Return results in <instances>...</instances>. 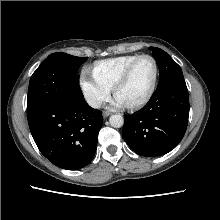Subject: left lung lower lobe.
I'll return each mask as SVG.
<instances>
[{
  "label": "left lung lower lobe",
  "mask_w": 220,
  "mask_h": 220,
  "mask_svg": "<svg viewBox=\"0 0 220 220\" xmlns=\"http://www.w3.org/2000/svg\"><path fill=\"white\" fill-rule=\"evenodd\" d=\"M189 117V96L185 80L173 81L155 90L138 113L124 115L122 136L137 154L164 155L182 140Z\"/></svg>",
  "instance_id": "obj_1"
}]
</instances>
